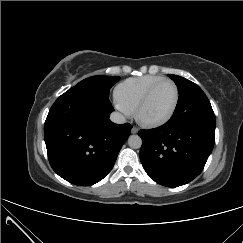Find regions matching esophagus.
I'll return each instance as SVG.
<instances>
[{"label":"esophagus","instance_id":"1","mask_svg":"<svg viewBox=\"0 0 243 243\" xmlns=\"http://www.w3.org/2000/svg\"><path fill=\"white\" fill-rule=\"evenodd\" d=\"M131 132H132L133 134H136V133L138 132V128H137V127H133V128L131 129Z\"/></svg>","mask_w":243,"mask_h":243}]
</instances>
